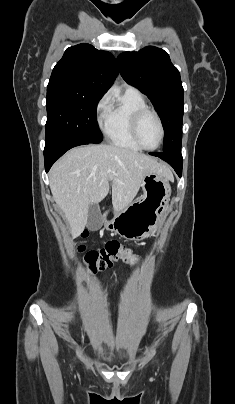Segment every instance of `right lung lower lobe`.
Listing matches in <instances>:
<instances>
[{
    "label": "right lung lower lobe",
    "mask_w": 235,
    "mask_h": 404,
    "mask_svg": "<svg viewBox=\"0 0 235 404\" xmlns=\"http://www.w3.org/2000/svg\"><path fill=\"white\" fill-rule=\"evenodd\" d=\"M90 142L71 135H65L46 141L44 149L45 171L48 172L53 163L69 149L89 144Z\"/></svg>",
    "instance_id": "98d812e1"
}]
</instances>
